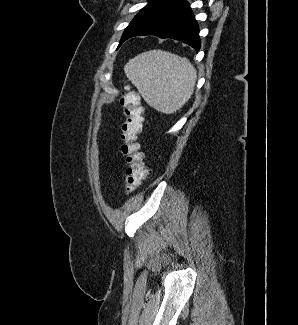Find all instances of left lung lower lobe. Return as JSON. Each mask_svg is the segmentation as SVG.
Returning a JSON list of instances; mask_svg holds the SVG:
<instances>
[{"instance_id":"0a47b994","label":"left lung lower lobe","mask_w":298,"mask_h":325,"mask_svg":"<svg viewBox=\"0 0 298 325\" xmlns=\"http://www.w3.org/2000/svg\"><path fill=\"white\" fill-rule=\"evenodd\" d=\"M144 35L180 40L196 51L201 47L199 27L186 0H161L137 22L124 41Z\"/></svg>"}]
</instances>
